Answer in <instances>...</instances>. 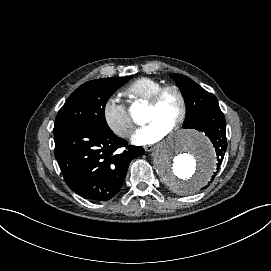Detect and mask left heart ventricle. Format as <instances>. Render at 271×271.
<instances>
[{"instance_id": "obj_1", "label": "left heart ventricle", "mask_w": 271, "mask_h": 271, "mask_svg": "<svg viewBox=\"0 0 271 271\" xmlns=\"http://www.w3.org/2000/svg\"><path fill=\"white\" fill-rule=\"evenodd\" d=\"M182 110L181 99L177 92L169 91L165 94L161 107L154 109L147 107L146 123L159 122L169 128Z\"/></svg>"}]
</instances>
